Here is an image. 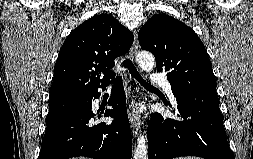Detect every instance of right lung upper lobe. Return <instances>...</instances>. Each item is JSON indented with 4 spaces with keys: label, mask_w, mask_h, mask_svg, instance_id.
Masks as SVG:
<instances>
[{
    "label": "right lung upper lobe",
    "mask_w": 253,
    "mask_h": 159,
    "mask_svg": "<svg viewBox=\"0 0 253 159\" xmlns=\"http://www.w3.org/2000/svg\"><path fill=\"white\" fill-rule=\"evenodd\" d=\"M133 40V34L111 14L96 15L83 22L60 49L50 101L91 95L99 87H106L114 76V59L126 54Z\"/></svg>",
    "instance_id": "1"
}]
</instances>
